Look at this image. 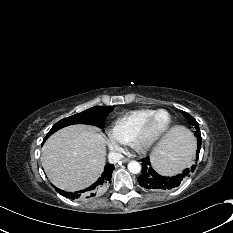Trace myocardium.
Wrapping results in <instances>:
<instances>
[{"mask_svg":"<svg viewBox=\"0 0 233 233\" xmlns=\"http://www.w3.org/2000/svg\"><path fill=\"white\" fill-rule=\"evenodd\" d=\"M159 113H165L167 116L166 122L161 129L156 132H151V124L154 118ZM171 124V114L165 109L154 110L140 125L136 132L132 146L139 152H146L156 146L160 140L165 136Z\"/></svg>","mask_w":233,"mask_h":233,"instance_id":"myocardium-1","label":"myocardium"}]
</instances>
